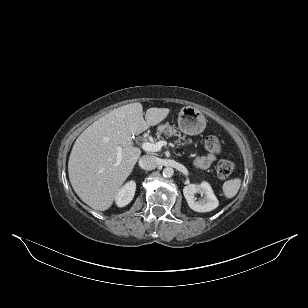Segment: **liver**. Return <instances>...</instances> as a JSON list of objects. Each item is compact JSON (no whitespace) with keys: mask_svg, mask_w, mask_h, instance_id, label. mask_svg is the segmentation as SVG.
Returning <instances> with one entry per match:
<instances>
[{"mask_svg":"<svg viewBox=\"0 0 308 308\" xmlns=\"http://www.w3.org/2000/svg\"><path fill=\"white\" fill-rule=\"evenodd\" d=\"M169 113L168 108L153 107L144 119L142 104L136 102L112 110L86 128L68 161L69 179L79 198L95 210H107L141 155L131 135L157 125ZM119 147L122 159L116 165Z\"/></svg>","mask_w":308,"mask_h":308,"instance_id":"1","label":"liver"}]
</instances>
